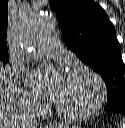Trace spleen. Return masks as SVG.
Returning <instances> with one entry per match:
<instances>
[{
    "label": "spleen",
    "mask_w": 125,
    "mask_h": 128,
    "mask_svg": "<svg viewBox=\"0 0 125 128\" xmlns=\"http://www.w3.org/2000/svg\"><path fill=\"white\" fill-rule=\"evenodd\" d=\"M120 127H121V128H125V119H123V120L121 121Z\"/></svg>",
    "instance_id": "1"
}]
</instances>
